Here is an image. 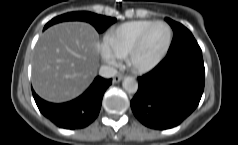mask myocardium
Masks as SVG:
<instances>
[{
	"label": "myocardium",
	"mask_w": 238,
	"mask_h": 145,
	"mask_svg": "<svg viewBox=\"0 0 238 145\" xmlns=\"http://www.w3.org/2000/svg\"><path fill=\"white\" fill-rule=\"evenodd\" d=\"M156 25H163L168 30V39H167V42H166L165 46L163 47L161 52L152 61H150L148 63H145V64L136 63L135 62V56L141 50V48H142L150 30ZM172 38H173V32H172V29L169 26V24H167L164 21H154V22H152L148 27H146L143 30V32L139 35V37L137 38L135 43L128 50V52L125 56V61H126L127 66L129 68H131L133 71L139 72V73H144V72H148V71L153 70L155 67H157L162 62V60L167 55V53L170 49L171 43H172Z\"/></svg>",
	"instance_id": "1"
}]
</instances>
